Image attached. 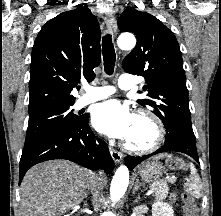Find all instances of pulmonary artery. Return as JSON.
<instances>
[{
	"label": "pulmonary artery",
	"instance_id": "1",
	"mask_svg": "<svg viewBox=\"0 0 221 216\" xmlns=\"http://www.w3.org/2000/svg\"><path fill=\"white\" fill-rule=\"evenodd\" d=\"M118 87L122 90H129L135 87L136 83L132 77L122 74L117 81ZM85 93L76 101V107L82 108L92 102L104 99L115 92V88L110 85L104 86H85Z\"/></svg>",
	"mask_w": 221,
	"mask_h": 216
}]
</instances>
